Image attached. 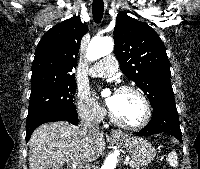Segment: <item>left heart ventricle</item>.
I'll list each match as a JSON object with an SVG mask.
<instances>
[{
  "instance_id": "b2bd125f",
  "label": "left heart ventricle",
  "mask_w": 200,
  "mask_h": 169,
  "mask_svg": "<svg viewBox=\"0 0 200 169\" xmlns=\"http://www.w3.org/2000/svg\"><path fill=\"white\" fill-rule=\"evenodd\" d=\"M108 102L116 117L127 124L136 125L144 119V103L134 92L116 91L109 96Z\"/></svg>"
}]
</instances>
